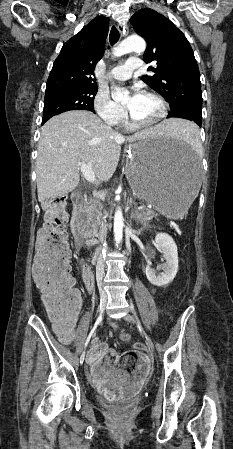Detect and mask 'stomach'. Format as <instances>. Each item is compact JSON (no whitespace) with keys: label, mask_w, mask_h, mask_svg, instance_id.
Masks as SVG:
<instances>
[{"label":"stomach","mask_w":233,"mask_h":449,"mask_svg":"<svg viewBox=\"0 0 233 449\" xmlns=\"http://www.w3.org/2000/svg\"><path fill=\"white\" fill-rule=\"evenodd\" d=\"M126 176L139 199L168 218L184 215L198 200L200 160L189 146L171 138L149 136L130 145Z\"/></svg>","instance_id":"0dacf381"}]
</instances>
